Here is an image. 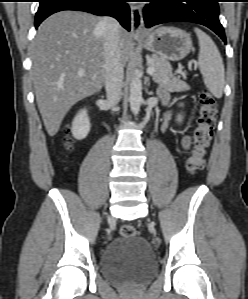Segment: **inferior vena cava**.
I'll return each instance as SVG.
<instances>
[{
    "instance_id": "inferior-vena-cava-1",
    "label": "inferior vena cava",
    "mask_w": 248,
    "mask_h": 299,
    "mask_svg": "<svg viewBox=\"0 0 248 299\" xmlns=\"http://www.w3.org/2000/svg\"><path fill=\"white\" fill-rule=\"evenodd\" d=\"M98 27L103 32L105 54V88L107 101L114 107L121 98L123 62L119 42V23L112 17H103Z\"/></svg>"
}]
</instances>
